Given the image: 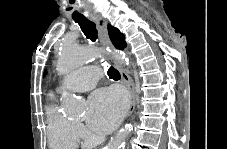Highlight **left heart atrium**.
<instances>
[{"instance_id":"left-heart-atrium-1","label":"left heart atrium","mask_w":227,"mask_h":149,"mask_svg":"<svg viewBox=\"0 0 227 149\" xmlns=\"http://www.w3.org/2000/svg\"><path fill=\"white\" fill-rule=\"evenodd\" d=\"M88 125L100 134L111 131L121 120L127 105L126 97L117 88L95 91L89 100Z\"/></svg>"}]
</instances>
